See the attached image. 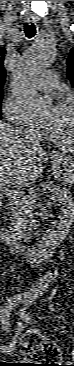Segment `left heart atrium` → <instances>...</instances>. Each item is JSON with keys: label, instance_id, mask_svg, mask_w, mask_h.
<instances>
[{"label": "left heart atrium", "instance_id": "39dd6f15", "mask_svg": "<svg viewBox=\"0 0 74 366\" xmlns=\"http://www.w3.org/2000/svg\"><path fill=\"white\" fill-rule=\"evenodd\" d=\"M53 115H54V112L52 114L45 116L44 119L42 120V124L45 128H48V126L50 125Z\"/></svg>", "mask_w": 74, "mask_h": 366}]
</instances>
